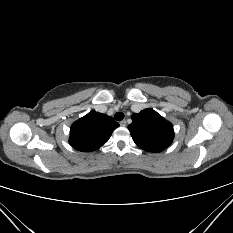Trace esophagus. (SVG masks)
<instances>
[{"label":"esophagus","instance_id":"34e87169","mask_svg":"<svg viewBox=\"0 0 233 233\" xmlns=\"http://www.w3.org/2000/svg\"><path fill=\"white\" fill-rule=\"evenodd\" d=\"M127 125L126 120L120 121V126L125 127Z\"/></svg>","mask_w":233,"mask_h":233}]
</instances>
